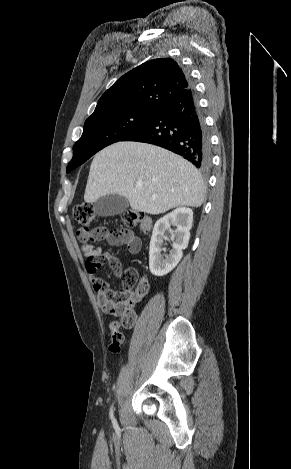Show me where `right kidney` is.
<instances>
[{"instance_id":"1","label":"right kidney","mask_w":291,"mask_h":469,"mask_svg":"<svg viewBox=\"0 0 291 469\" xmlns=\"http://www.w3.org/2000/svg\"><path fill=\"white\" fill-rule=\"evenodd\" d=\"M193 212L189 208H177L160 218L154 226L149 248V267L153 275L161 277L172 271L182 258V250L188 246ZM175 226L174 242L169 255L163 256L165 232Z\"/></svg>"}]
</instances>
